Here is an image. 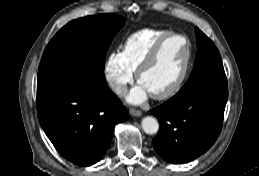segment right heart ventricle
Listing matches in <instances>:
<instances>
[{"mask_svg": "<svg viewBox=\"0 0 259 176\" xmlns=\"http://www.w3.org/2000/svg\"><path fill=\"white\" fill-rule=\"evenodd\" d=\"M169 32L167 29L144 28L129 35L121 51L126 65L135 72L155 42Z\"/></svg>", "mask_w": 259, "mask_h": 176, "instance_id": "obj_1", "label": "right heart ventricle"}]
</instances>
